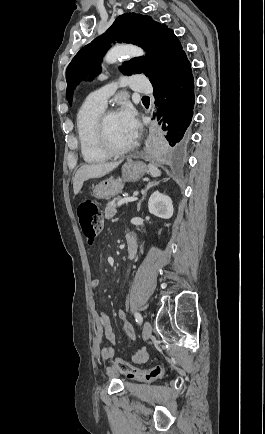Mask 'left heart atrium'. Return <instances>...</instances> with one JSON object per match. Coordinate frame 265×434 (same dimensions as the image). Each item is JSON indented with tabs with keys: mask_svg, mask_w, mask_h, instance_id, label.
I'll list each match as a JSON object with an SVG mask.
<instances>
[{
	"mask_svg": "<svg viewBox=\"0 0 265 434\" xmlns=\"http://www.w3.org/2000/svg\"><path fill=\"white\" fill-rule=\"evenodd\" d=\"M118 116L120 123L125 129V131L133 140H136L139 133V124L136 110L129 103L124 102L119 110Z\"/></svg>",
	"mask_w": 265,
	"mask_h": 434,
	"instance_id": "1",
	"label": "left heart atrium"
}]
</instances>
